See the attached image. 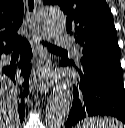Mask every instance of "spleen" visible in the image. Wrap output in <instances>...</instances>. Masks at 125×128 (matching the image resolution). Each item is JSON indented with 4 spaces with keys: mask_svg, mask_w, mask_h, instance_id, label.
Returning a JSON list of instances; mask_svg holds the SVG:
<instances>
[{
    "mask_svg": "<svg viewBox=\"0 0 125 128\" xmlns=\"http://www.w3.org/2000/svg\"><path fill=\"white\" fill-rule=\"evenodd\" d=\"M77 128H125L117 119L108 117H88Z\"/></svg>",
    "mask_w": 125,
    "mask_h": 128,
    "instance_id": "1",
    "label": "spleen"
}]
</instances>
